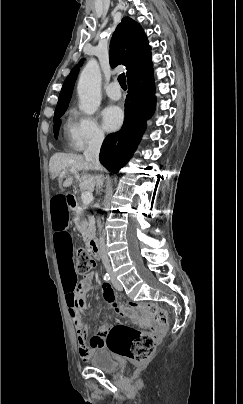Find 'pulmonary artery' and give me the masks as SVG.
Masks as SVG:
<instances>
[{
  "instance_id": "1",
  "label": "pulmonary artery",
  "mask_w": 243,
  "mask_h": 404,
  "mask_svg": "<svg viewBox=\"0 0 243 404\" xmlns=\"http://www.w3.org/2000/svg\"><path fill=\"white\" fill-rule=\"evenodd\" d=\"M106 94L112 100H119L122 96L119 83L117 81L110 83L106 89Z\"/></svg>"
}]
</instances>
